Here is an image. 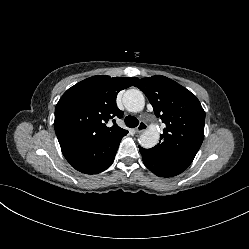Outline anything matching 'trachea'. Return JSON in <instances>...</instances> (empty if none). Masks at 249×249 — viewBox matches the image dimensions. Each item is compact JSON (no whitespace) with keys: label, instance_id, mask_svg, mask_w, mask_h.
<instances>
[{"label":"trachea","instance_id":"obj_1","mask_svg":"<svg viewBox=\"0 0 249 249\" xmlns=\"http://www.w3.org/2000/svg\"><path fill=\"white\" fill-rule=\"evenodd\" d=\"M125 124L130 128H134L139 124V121L136 117L129 115L125 118Z\"/></svg>","mask_w":249,"mask_h":249}]
</instances>
